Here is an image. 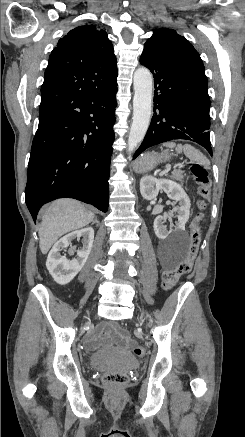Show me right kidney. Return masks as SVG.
<instances>
[{"instance_id":"right-kidney-1","label":"right kidney","mask_w":245,"mask_h":437,"mask_svg":"<svg viewBox=\"0 0 245 437\" xmlns=\"http://www.w3.org/2000/svg\"><path fill=\"white\" fill-rule=\"evenodd\" d=\"M80 237H83V247L77 251L76 258L68 260L65 256L60 255L62 249L68 247L72 240L75 238L79 239ZM93 241L94 230L91 227H87L67 234L54 244L46 261V267L54 281L58 284L65 285L74 279L86 263ZM74 252L75 248L72 247L68 253L73 255Z\"/></svg>"}]
</instances>
